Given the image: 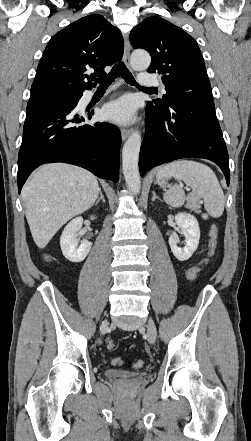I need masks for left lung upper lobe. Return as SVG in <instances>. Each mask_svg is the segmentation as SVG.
<instances>
[{"mask_svg":"<svg viewBox=\"0 0 251 441\" xmlns=\"http://www.w3.org/2000/svg\"><path fill=\"white\" fill-rule=\"evenodd\" d=\"M134 48H143L151 55L149 73L162 75L166 94L148 103L159 108L192 99L212 98L204 59L197 42L169 21L151 16L135 26L130 33Z\"/></svg>","mask_w":251,"mask_h":441,"instance_id":"5c2ea615","label":"left lung upper lobe"}]
</instances>
